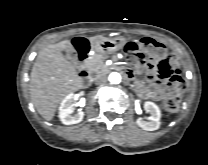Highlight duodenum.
<instances>
[{
    "mask_svg": "<svg viewBox=\"0 0 208 165\" xmlns=\"http://www.w3.org/2000/svg\"><path fill=\"white\" fill-rule=\"evenodd\" d=\"M90 47L88 45H84V48L80 51L79 56L77 58V72L80 79L87 83L90 77V71L88 67V57L87 53L89 52ZM125 78L130 79L132 78V72L121 65L115 66Z\"/></svg>",
    "mask_w": 208,
    "mask_h": 165,
    "instance_id": "duodenum-1",
    "label": "duodenum"
}]
</instances>
